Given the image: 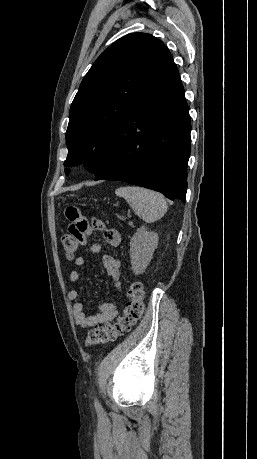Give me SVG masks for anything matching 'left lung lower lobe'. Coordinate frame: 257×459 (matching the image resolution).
<instances>
[{"instance_id": "obj_1", "label": "left lung lower lobe", "mask_w": 257, "mask_h": 459, "mask_svg": "<svg viewBox=\"0 0 257 459\" xmlns=\"http://www.w3.org/2000/svg\"><path fill=\"white\" fill-rule=\"evenodd\" d=\"M191 122L172 56L163 63L115 135L95 180H117L185 202Z\"/></svg>"}]
</instances>
